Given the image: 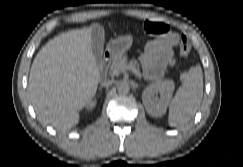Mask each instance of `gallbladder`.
Instances as JSON below:
<instances>
[{
    "mask_svg": "<svg viewBox=\"0 0 243 167\" xmlns=\"http://www.w3.org/2000/svg\"><path fill=\"white\" fill-rule=\"evenodd\" d=\"M91 47L95 56L96 62L100 63L102 60L103 44H104V30L100 26H94L91 33Z\"/></svg>",
    "mask_w": 243,
    "mask_h": 167,
    "instance_id": "1",
    "label": "gallbladder"
}]
</instances>
